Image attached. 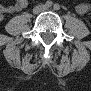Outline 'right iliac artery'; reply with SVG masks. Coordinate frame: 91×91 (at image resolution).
<instances>
[{
    "instance_id": "82829eb1",
    "label": "right iliac artery",
    "mask_w": 91,
    "mask_h": 91,
    "mask_svg": "<svg viewBox=\"0 0 91 91\" xmlns=\"http://www.w3.org/2000/svg\"><path fill=\"white\" fill-rule=\"evenodd\" d=\"M52 5H53L52 1H47V2L45 3V6H46V7H51Z\"/></svg>"
}]
</instances>
